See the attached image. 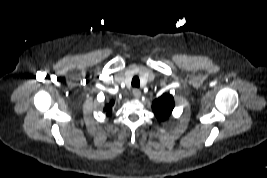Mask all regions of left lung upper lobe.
I'll list each match as a JSON object with an SVG mask.
<instances>
[{
  "instance_id": "left-lung-upper-lobe-1",
  "label": "left lung upper lobe",
  "mask_w": 267,
  "mask_h": 178,
  "mask_svg": "<svg viewBox=\"0 0 267 178\" xmlns=\"http://www.w3.org/2000/svg\"><path fill=\"white\" fill-rule=\"evenodd\" d=\"M174 108V99L170 94H164L153 101L152 110L155 116L160 120H166Z\"/></svg>"
}]
</instances>
